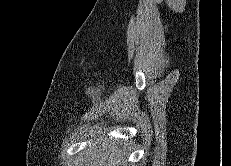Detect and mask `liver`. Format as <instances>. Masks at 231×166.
<instances>
[{"label":"liver","mask_w":231,"mask_h":166,"mask_svg":"<svg viewBox=\"0 0 231 166\" xmlns=\"http://www.w3.org/2000/svg\"><path fill=\"white\" fill-rule=\"evenodd\" d=\"M127 144L123 146L122 141L114 139L98 140L89 143L82 152L87 159V166H126Z\"/></svg>","instance_id":"liver-1"}]
</instances>
